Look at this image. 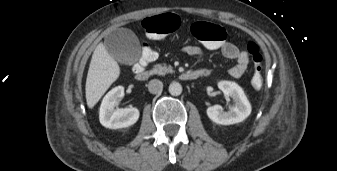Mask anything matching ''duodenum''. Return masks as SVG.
Returning a JSON list of instances; mask_svg holds the SVG:
<instances>
[{
  "label": "duodenum",
  "mask_w": 337,
  "mask_h": 171,
  "mask_svg": "<svg viewBox=\"0 0 337 171\" xmlns=\"http://www.w3.org/2000/svg\"><path fill=\"white\" fill-rule=\"evenodd\" d=\"M134 71H135L136 78L138 80H145L149 76L145 68L139 64L135 66ZM208 74H209L208 69L190 70V71H186L182 73L181 78L184 80H195L198 78L206 77L208 76Z\"/></svg>",
  "instance_id": "410a0bca"
}]
</instances>
